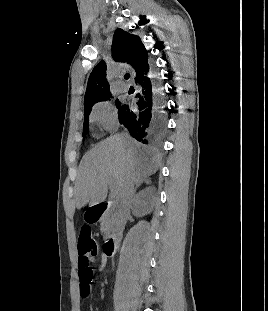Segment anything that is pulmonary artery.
Masks as SVG:
<instances>
[{"mask_svg":"<svg viewBox=\"0 0 268 311\" xmlns=\"http://www.w3.org/2000/svg\"><path fill=\"white\" fill-rule=\"evenodd\" d=\"M119 89H120L121 91H125V90L127 89V85L124 84V83H122V82H120V83H119Z\"/></svg>","mask_w":268,"mask_h":311,"instance_id":"obj_1","label":"pulmonary artery"}]
</instances>
